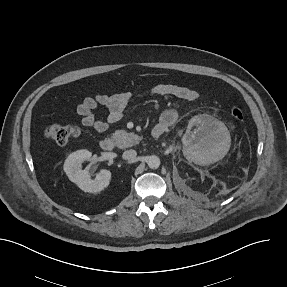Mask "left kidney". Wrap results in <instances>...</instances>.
Here are the masks:
<instances>
[{
    "label": "left kidney",
    "mask_w": 287,
    "mask_h": 287,
    "mask_svg": "<svg viewBox=\"0 0 287 287\" xmlns=\"http://www.w3.org/2000/svg\"><path fill=\"white\" fill-rule=\"evenodd\" d=\"M200 122L197 119L189 121L188 129L183 136V144L191 146L196 152H206L213 156L211 162H215L222 158L228 151L230 134L224 127L212 129L211 127L202 126L205 129L204 134H194L191 132L193 126Z\"/></svg>",
    "instance_id": "5707ae66"
}]
</instances>
